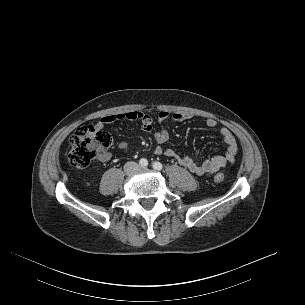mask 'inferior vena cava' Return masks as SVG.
Returning <instances> with one entry per match:
<instances>
[{
  "mask_svg": "<svg viewBox=\"0 0 305 305\" xmlns=\"http://www.w3.org/2000/svg\"><path fill=\"white\" fill-rule=\"evenodd\" d=\"M139 166H138V164L137 163H135V162H127L126 164H125V166H124V168H125V170H130V169H134V170H136L137 168H138Z\"/></svg>",
  "mask_w": 305,
  "mask_h": 305,
  "instance_id": "602c4592",
  "label": "inferior vena cava"
}]
</instances>
